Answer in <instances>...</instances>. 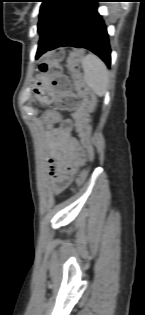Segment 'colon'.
<instances>
[{
    "mask_svg": "<svg viewBox=\"0 0 145 315\" xmlns=\"http://www.w3.org/2000/svg\"><path fill=\"white\" fill-rule=\"evenodd\" d=\"M82 57V52L75 51L68 58V66L75 80L76 91L72 89L69 78L62 71L63 51L55 50L47 53L41 60L39 69L51 79L57 108L73 112L77 133L82 145L92 159L94 148L90 138L91 125L89 117L95 105V98L79 76Z\"/></svg>",
    "mask_w": 145,
    "mask_h": 315,
    "instance_id": "1",
    "label": "colon"
}]
</instances>
